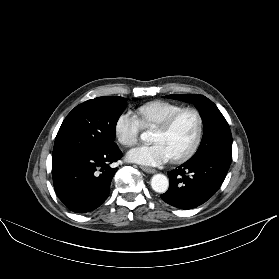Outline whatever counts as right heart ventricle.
Segmentation results:
<instances>
[{"label": "right heart ventricle", "instance_id": "right-heart-ventricle-1", "mask_svg": "<svg viewBox=\"0 0 279 279\" xmlns=\"http://www.w3.org/2000/svg\"><path fill=\"white\" fill-rule=\"evenodd\" d=\"M183 108L182 105L156 100L144 103L137 107L138 120L144 128L154 129L172 113Z\"/></svg>", "mask_w": 279, "mask_h": 279}]
</instances>
